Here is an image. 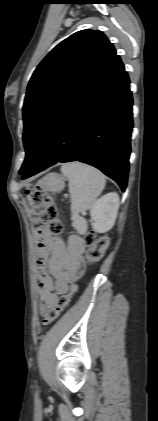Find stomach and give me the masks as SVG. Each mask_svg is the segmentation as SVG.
<instances>
[{"label": "stomach", "instance_id": "0dacf381", "mask_svg": "<svg viewBox=\"0 0 158 421\" xmlns=\"http://www.w3.org/2000/svg\"><path fill=\"white\" fill-rule=\"evenodd\" d=\"M37 185L49 192L57 193L64 189L65 181L59 174L49 173L41 178Z\"/></svg>", "mask_w": 158, "mask_h": 421}]
</instances>
